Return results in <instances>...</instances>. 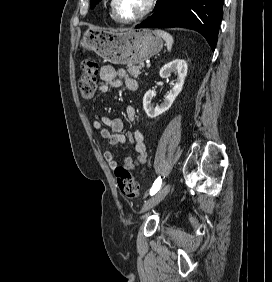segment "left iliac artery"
Returning a JSON list of instances; mask_svg holds the SVG:
<instances>
[{
  "label": "left iliac artery",
  "instance_id": "1",
  "mask_svg": "<svg viewBox=\"0 0 272 282\" xmlns=\"http://www.w3.org/2000/svg\"><path fill=\"white\" fill-rule=\"evenodd\" d=\"M161 183H162L161 177H158V178L155 180V182H154L152 188L150 189V195H151V196L154 195V194H156V193L159 191V189H160V187H161Z\"/></svg>",
  "mask_w": 272,
  "mask_h": 282
}]
</instances>
